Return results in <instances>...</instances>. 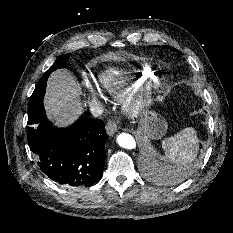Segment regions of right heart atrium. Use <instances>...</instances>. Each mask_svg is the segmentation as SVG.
Segmentation results:
<instances>
[{
  "mask_svg": "<svg viewBox=\"0 0 233 233\" xmlns=\"http://www.w3.org/2000/svg\"><path fill=\"white\" fill-rule=\"evenodd\" d=\"M84 87L90 96L95 97L97 95L98 92L90 81L84 80Z\"/></svg>",
  "mask_w": 233,
  "mask_h": 233,
  "instance_id": "1",
  "label": "right heart atrium"
}]
</instances>
